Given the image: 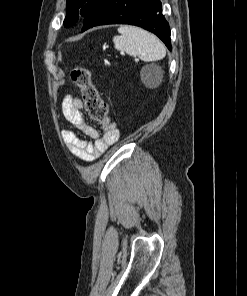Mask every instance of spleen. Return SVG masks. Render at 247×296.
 I'll use <instances>...</instances> for the list:
<instances>
[{"instance_id": "obj_1", "label": "spleen", "mask_w": 247, "mask_h": 296, "mask_svg": "<svg viewBox=\"0 0 247 296\" xmlns=\"http://www.w3.org/2000/svg\"><path fill=\"white\" fill-rule=\"evenodd\" d=\"M118 33L120 35L113 37L115 48L130 56H138L144 62H152L161 60L166 55L163 43L155 35L141 28L120 26Z\"/></svg>"}]
</instances>
